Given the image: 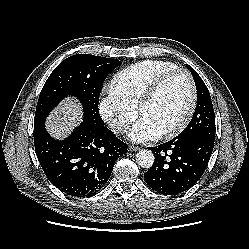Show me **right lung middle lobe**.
<instances>
[{
    "instance_id": "1",
    "label": "right lung middle lobe",
    "mask_w": 249,
    "mask_h": 249,
    "mask_svg": "<svg viewBox=\"0 0 249 249\" xmlns=\"http://www.w3.org/2000/svg\"><path fill=\"white\" fill-rule=\"evenodd\" d=\"M121 61L77 54L61 62L45 82L37 103L34 124L44 123L51 110L65 97L74 96L84 109V119L103 126L98 100L103 82Z\"/></svg>"
}]
</instances>
